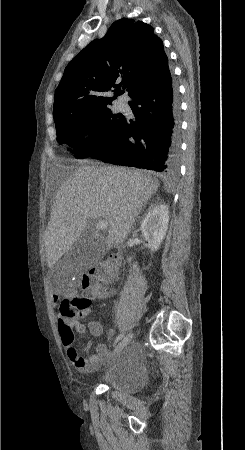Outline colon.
<instances>
[{
  "label": "colon",
  "mask_w": 245,
  "mask_h": 450,
  "mask_svg": "<svg viewBox=\"0 0 245 450\" xmlns=\"http://www.w3.org/2000/svg\"><path fill=\"white\" fill-rule=\"evenodd\" d=\"M121 265L120 259L117 255H111L107 260H101L95 263L92 267L83 271L80 276V288L86 295L95 287L104 288L113 282L118 276V271ZM78 306L87 308L89 306L86 298L80 299ZM75 303L73 300L63 299L60 303L58 312V328L64 342L69 343L74 340V330L81 329L78 324V314L75 310ZM80 361V365H81Z\"/></svg>",
  "instance_id": "obj_1"
}]
</instances>
